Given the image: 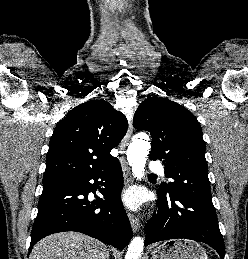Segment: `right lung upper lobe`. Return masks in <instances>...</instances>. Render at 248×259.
<instances>
[{
	"mask_svg": "<svg viewBox=\"0 0 248 259\" xmlns=\"http://www.w3.org/2000/svg\"><path fill=\"white\" fill-rule=\"evenodd\" d=\"M127 128L124 114L107 101L94 100L76 106L53 132L43 184L106 169L117 159L110 152Z\"/></svg>",
	"mask_w": 248,
	"mask_h": 259,
	"instance_id": "cb5924a9",
	"label": "right lung upper lobe"
}]
</instances>
